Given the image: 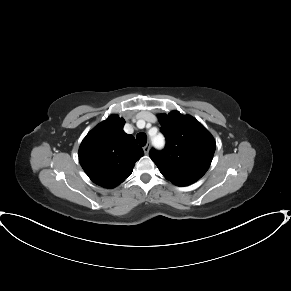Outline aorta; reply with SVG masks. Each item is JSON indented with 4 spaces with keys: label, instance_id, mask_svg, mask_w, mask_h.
Here are the masks:
<instances>
[{
    "label": "aorta",
    "instance_id": "1",
    "mask_svg": "<svg viewBox=\"0 0 291 291\" xmlns=\"http://www.w3.org/2000/svg\"><path fill=\"white\" fill-rule=\"evenodd\" d=\"M152 141H153V144L155 146H161V145H163L164 140H163V137L161 135H157V136H154L152 138Z\"/></svg>",
    "mask_w": 291,
    "mask_h": 291
}]
</instances>
